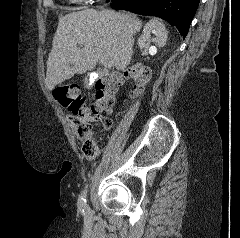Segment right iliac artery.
<instances>
[{"label":"right iliac artery","mask_w":240,"mask_h":238,"mask_svg":"<svg viewBox=\"0 0 240 238\" xmlns=\"http://www.w3.org/2000/svg\"><path fill=\"white\" fill-rule=\"evenodd\" d=\"M87 188L82 192L79 200H78V204L80 205V207L82 208H86V197H87ZM84 211V210H83Z\"/></svg>","instance_id":"obj_1"}]
</instances>
